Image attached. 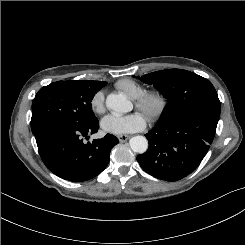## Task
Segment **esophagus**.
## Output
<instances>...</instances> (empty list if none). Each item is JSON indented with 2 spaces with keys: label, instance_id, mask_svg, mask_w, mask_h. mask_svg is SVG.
<instances>
[{
  "label": "esophagus",
  "instance_id": "esophagus-1",
  "mask_svg": "<svg viewBox=\"0 0 245 245\" xmlns=\"http://www.w3.org/2000/svg\"><path fill=\"white\" fill-rule=\"evenodd\" d=\"M117 138L121 143H123L127 141L130 138V136L129 135H119Z\"/></svg>",
  "mask_w": 245,
  "mask_h": 245
}]
</instances>
